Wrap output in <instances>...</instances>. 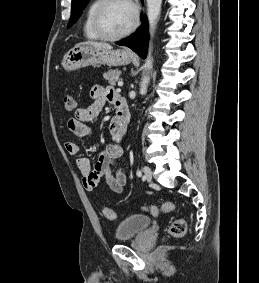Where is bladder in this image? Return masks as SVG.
<instances>
[{"mask_svg": "<svg viewBox=\"0 0 259 283\" xmlns=\"http://www.w3.org/2000/svg\"><path fill=\"white\" fill-rule=\"evenodd\" d=\"M151 218L141 214H134L118 224L115 230V239L125 241L138 236L150 227Z\"/></svg>", "mask_w": 259, "mask_h": 283, "instance_id": "obj_1", "label": "bladder"}]
</instances>
